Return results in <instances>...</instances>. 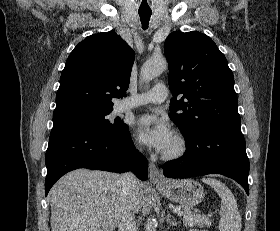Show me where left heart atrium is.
Wrapping results in <instances>:
<instances>
[{
    "label": "left heart atrium",
    "instance_id": "1",
    "mask_svg": "<svg viewBox=\"0 0 280 231\" xmlns=\"http://www.w3.org/2000/svg\"><path fill=\"white\" fill-rule=\"evenodd\" d=\"M134 128L139 138L157 152H166L174 142L170 126L155 116L139 117L134 123Z\"/></svg>",
    "mask_w": 280,
    "mask_h": 231
}]
</instances>
